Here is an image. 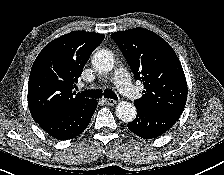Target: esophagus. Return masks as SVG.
Segmentation results:
<instances>
[{"label":"esophagus","instance_id":"esophagus-1","mask_svg":"<svg viewBox=\"0 0 224 175\" xmlns=\"http://www.w3.org/2000/svg\"><path fill=\"white\" fill-rule=\"evenodd\" d=\"M105 104L113 106L116 104V100L114 99H104Z\"/></svg>","mask_w":224,"mask_h":175}]
</instances>
